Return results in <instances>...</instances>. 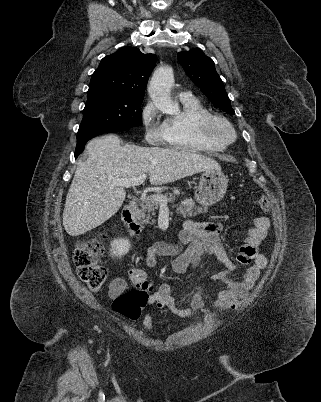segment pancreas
I'll return each mask as SVG.
<instances>
[{
	"label": "pancreas",
	"mask_w": 321,
	"mask_h": 402,
	"mask_svg": "<svg viewBox=\"0 0 321 402\" xmlns=\"http://www.w3.org/2000/svg\"><path fill=\"white\" fill-rule=\"evenodd\" d=\"M162 198H172V194H157ZM140 218L143 223L154 224L155 220L152 219V215H155V211L158 209L160 204L155 200L154 197H148L144 199L141 204ZM197 209V211H196ZM207 212V208H199L195 205V202L190 198L185 201H181L179 207L177 208V213L181 214L183 217H195L198 213Z\"/></svg>",
	"instance_id": "1"
}]
</instances>
